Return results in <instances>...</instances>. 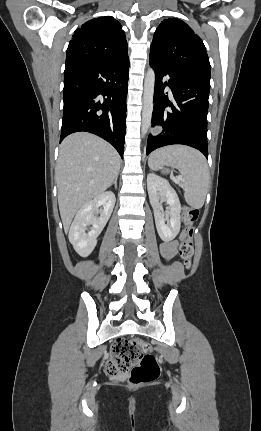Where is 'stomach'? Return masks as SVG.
Returning a JSON list of instances; mask_svg holds the SVG:
<instances>
[{
    "label": "stomach",
    "instance_id": "1",
    "mask_svg": "<svg viewBox=\"0 0 261 431\" xmlns=\"http://www.w3.org/2000/svg\"><path fill=\"white\" fill-rule=\"evenodd\" d=\"M160 169L165 170L166 168L164 166H162Z\"/></svg>",
    "mask_w": 261,
    "mask_h": 431
}]
</instances>
